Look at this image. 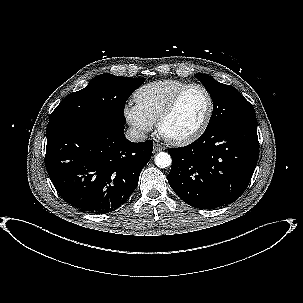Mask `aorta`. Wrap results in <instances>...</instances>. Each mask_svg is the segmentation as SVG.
<instances>
[{"mask_svg":"<svg viewBox=\"0 0 303 303\" xmlns=\"http://www.w3.org/2000/svg\"><path fill=\"white\" fill-rule=\"evenodd\" d=\"M172 163L171 156L166 152H159L155 156V164L159 168L169 167Z\"/></svg>","mask_w":303,"mask_h":303,"instance_id":"obj_1","label":"aorta"}]
</instances>
